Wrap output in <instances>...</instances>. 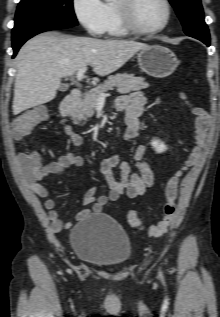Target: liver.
<instances>
[{"label":"liver","mask_w":220,"mask_h":317,"mask_svg":"<svg viewBox=\"0 0 220 317\" xmlns=\"http://www.w3.org/2000/svg\"><path fill=\"white\" fill-rule=\"evenodd\" d=\"M148 45L126 40L66 37L43 33L25 43L16 63L13 114L50 102L61 78L91 65L95 74L106 76L122 67Z\"/></svg>","instance_id":"obj_1"}]
</instances>
